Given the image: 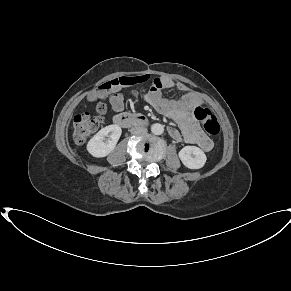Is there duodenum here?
Here are the masks:
<instances>
[{"label":"duodenum","instance_id":"duodenum-1","mask_svg":"<svg viewBox=\"0 0 291 291\" xmlns=\"http://www.w3.org/2000/svg\"><path fill=\"white\" fill-rule=\"evenodd\" d=\"M114 123L122 128L131 126H146L148 120L142 114L119 113L114 116Z\"/></svg>","mask_w":291,"mask_h":291}]
</instances>
